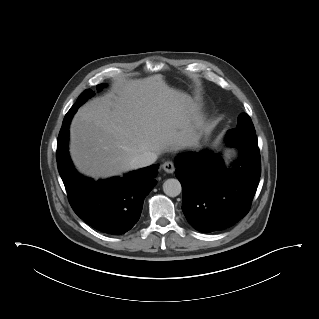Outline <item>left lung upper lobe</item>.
<instances>
[{
  "label": "left lung upper lobe",
  "instance_id": "left-lung-upper-lobe-1",
  "mask_svg": "<svg viewBox=\"0 0 319 319\" xmlns=\"http://www.w3.org/2000/svg\"><path fill=\"white\" fill-rule=\"evenodd\" d=\"M237 128L246 130V131L255 132L251 118L245 113H242L238 116Z\"/></svg>",
  "mask_w": 319,
  "mask_h": 319
}]
</instances>
